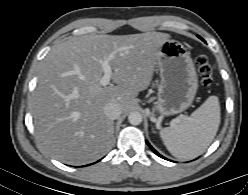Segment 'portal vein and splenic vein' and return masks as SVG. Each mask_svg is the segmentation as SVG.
I'll use <instances>...</instances> for the list:
<instances>
[{
	"instance_id": "1",
	"label": "portal vein and splenic vein",
	"mask_w": 248,
	"mask_h": 195,
	"mask_svg": "<svg viewBox=\"0 0 248 195\" xmlns=\"http://www.w3.org/2000/svg\"><path fill=\"white\" fill-rule=\"evenodd\" d=\"M113 55H110L108 58H106L104 61L101 62L102 69L104 72V75L102 76L100 80V84L102 86H106L110 83L111 77L113 75L112 69L109 65V61L112 59Z\"/></svg>"
}]
</instances>
